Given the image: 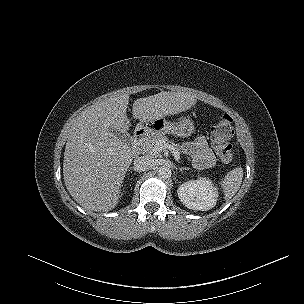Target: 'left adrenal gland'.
Here are the masks:
<instances>
[{"instance_id": "obj_1", "label": "left adrenal gland", "mask_w": 304, "mask_h": 304, "mask_svg": "<svg viewBox=\"0 0 304 304\" xmlns=\"http://www.w3.org/2000/svg\"><path fill=\"white\" fill-rule=\"evenodd\" d=\"M188 169H189L188 167H181V168H179L180 171L188 170Z\"/></svg>"}]
</instances>
